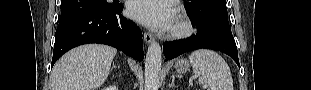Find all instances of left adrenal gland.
<instances>
[{
	"instance_id": "1",
	"label": "left adrenal gland",
	"mask_w": 311,
	"mask_h": 90,
	"mask_svg": "<svg viewBox=\"0 0 311 90\" xmlns=\"http://www.w3.org/2000/svg\"><path fill=\"white\" fill-rule=\"evenodd\" d=\"M174 80H175V76H172V81L171 83L168 85L169 88H175V84H174Z\"/></svg>"
}]
</instances>
